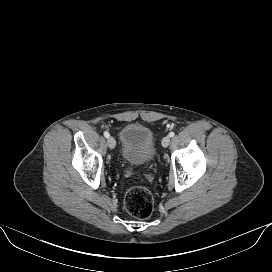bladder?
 Instances as JSON below:
<instances>
[{"label": "bladder", "instance_id": "31cf9c89", "mask_svg": "<svg viewBox=\"0 0 272 272\" xmlns=\"http://www.w3.org/2000/svg\"><path fill=\"white\" fill-rule=\"evenodd\" d=\"M121 156L133 165H144L151 162L156 155V144L153 132L141 124H128L120 133Z\"/></svg>", "mask_w": 272, "mask_h": 272}]
</instances>
